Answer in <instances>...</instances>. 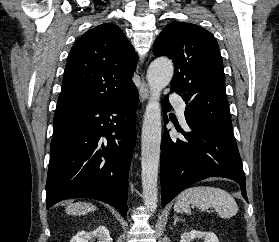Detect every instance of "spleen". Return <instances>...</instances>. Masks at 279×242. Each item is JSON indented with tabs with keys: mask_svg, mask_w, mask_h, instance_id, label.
Instances as JSON below:
<instances>
[{
	"mask_svg": "<svg viewBox=\"0 0 279 242\" xmlns=\"http://www.w3.org/2000/svg\"><path fill=\"white\" fill-rule=\"evenodd\" d=\"M190 205L199 210L214 208L220 217L230 218L238 212L235 199L226 191L209 186H195L184 190L176 200L174 211L190 213Z\"/></svg>",
	"mask_w": 279,
	"mask_h": 242,
	"instance_id": "obj_1",
	"label": "spleen"
}]
</instances>
